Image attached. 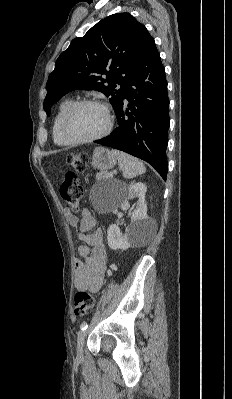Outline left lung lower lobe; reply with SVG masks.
Returning <instances> with one entry per match:
<instances>
[{
  "mask_svg": "<svg viewBox=\"0 0 232 399\" xmlns=\"http://www.w3.org/2000/svg\"><path fill=\"white\" fill-rule=\"evenodd\" d=\"M169 99L165 69L154 39L143 50L116 111L118 126L95 143L148 162L166 180Z\"/></svg>",
  "mask_w": 232,
  "mask_h": 399,
  "instance_id": "0a47b994",
  "label": "left lung lower lobe"
}]
</instances>
